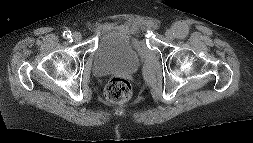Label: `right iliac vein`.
Here are the masks:
<instances>
[{
    "instance_id": "1",
    "label": "right iliac vein",
    "mask_w": 253,
    "mask_h": 143,
    "mask_svg": "<svg viewBox=\"0 0 253 143\" xmlns=\"http://www.w3.org/2000/svg\"><path fill=\"white\" fill-rule=\"evenodd\" d=\"M72 38L75 42H79L82 39V35L79 32H74Z\"/></svg>"
}]
</instances>
